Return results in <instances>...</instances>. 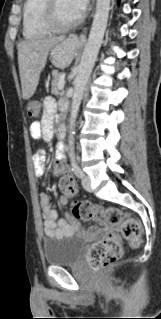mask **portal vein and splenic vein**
Segmentation results:
<instances>
[{
	"instance_id": "1",
	"label": "portal vein and splenic vein",
	"mask_w": 161,
	"mask_h": 319,
	"mask_svg": "<svg viewBox=\"0 0 161 319\" xmlns=\"http://www.w3.org/2000/svg\"><path fill=\"white\" fill-rule=\"evenodd\" d=\"M65 73H62L61 74V77H60V81H59V85H58V89L59 90H62L64 88V85H65Z\"/></svg>"
}]
</instances>
